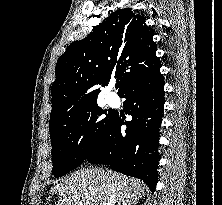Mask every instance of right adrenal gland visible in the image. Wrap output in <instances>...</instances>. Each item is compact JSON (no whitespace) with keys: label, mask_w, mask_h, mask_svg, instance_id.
<instances>
[{"label":"right adrenal gland","mask_w":222,"mask_h":205,"mask_svg":"<svg viewBox=\"0 0 222 205\" xmlns=\"http://www.w3.org/2000/svg\"><path fill=\"white\" fill-rule=\"evenodd\" d=\"M117 205H121V203H118ZM122 205H127V202L123 201ZM129 205V204H128Z\"/></svg>","instance_id":"1"}]
</instances>
